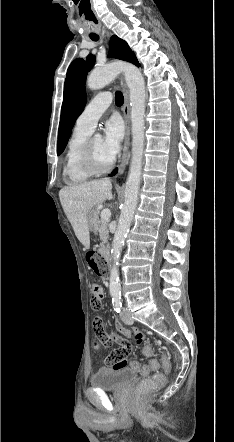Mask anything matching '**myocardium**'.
I'll return each mask as SVG.
<instances>
[{"label": "myocardium", "mask_w": 234, "mask_h": 442, "mask_svg": "<svg viewBox=\"0 0 234 442\" xmlns=\"http://www.w3.org/2000/svg\"><path fill=\"white\" fill-rule=\"evenodd\" d=\"M92 141L93 139H88L84 145L81 156L82 166L87 172L93 175H101L107 173L114 166L115 160L111 159V161L107 165L100 166L95 158Z\"/></svg>", "instance_id": "1"}]
</instances>
